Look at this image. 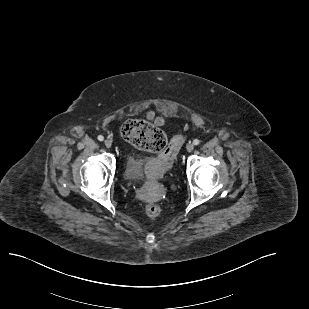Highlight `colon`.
<instances>
[{"mask_svg": "<svg viewBox=\"0 0 309 309\" xmlns=\"http://www.w3.org/2000/svg\"><path fill=\"white\" fill-rule=\"evenodd\" d=\"M121 135L137 149L160 153V161L164 165L170 162L169 155L181 142V136H178L168 145L167 138L162 131L141 119L126 121L121 127ZM160 211L156 203H149L145 207V212L150 218H156Z\"/></svg>", "mask_w": 309, "mask_h": 309, "instance_id": "colon-1", "label": "colon"}]
</instances>
